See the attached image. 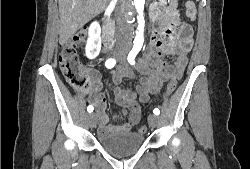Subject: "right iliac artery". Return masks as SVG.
<instances>
[{
  "instance_id": "82829eb1",
  "label": "right iliac artery",
  "mask_w": 250,
  "mask_h": 169,
  "mask_svg": "<svg viewBox=\"0 0 250 169\" xmlns=\"http://www.w3.org/2000/svg\"><path fill=\"white\" fill-rule=\"evenodd\" d=\"M116 64V60L115 59H112V58H110V59H108L106 62H105V66L107 67V68H113L114 67V65ZM93 106L92 105H89L88 107H87V111L89 112V113H91L92 111H93Z\"/></svg>"
}]
</instances>
